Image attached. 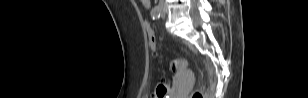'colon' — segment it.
<instances>
[{
	"label": "colon",
	"instance_id": "colon-1",
	"mask_svg": "<svg viewBox=\"0 0 308 98\" xmlns=\"http://www.w3.org/2000/svg\"><path fill=\"white\" fill-rule=\"evenodd\" d=\"M145 29L148 31L149 44L152 50H155L156 39L154 32V26L152 24H147ZM170 68L174 72H181L186 68L185 60L181 58H173L170 60ZM170 85L168 83L160 84L155 92V98H168L167 94L169 93ZM190 98H204V93L200 90H195L191 93Z\"/></svg>",
	"mask_w": 308,
	"mask_h": 98
}]
</instances>
